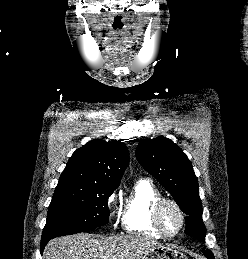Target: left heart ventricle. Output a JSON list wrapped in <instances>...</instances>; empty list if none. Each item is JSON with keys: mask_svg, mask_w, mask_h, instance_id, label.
Here are the masks:
<instances>
[{"mask_svg": "<svg viewBox=\"0 0 248 259\" xmlns=\"http://www.w3.org/2000/svg\"><path fill=\"white\" fill-rule=\"evenodd\" d=\"M161 221L165 230L173 234L178 231L181 219L176 208L170 204H166L161 211Z\"/></svg>", "mask_w": 248, "mask_h": 259, "instance_id": "b2bd125f", "label": "left heart ventricle"}]
</instances>
